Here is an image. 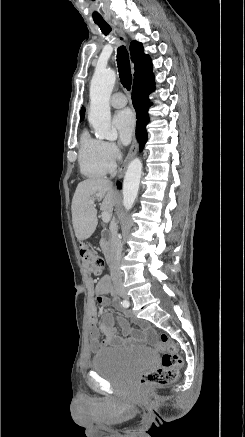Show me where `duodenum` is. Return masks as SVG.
<instances>
[{"label": "duodenum", "instance_id": "obj_1", "mask_svg": "<svg viewBox=\"0 0 245 437\" xmlns=\"http://www.w3.org/2000/svg\"><path fill=\"white\" fill-rule=\"evenodd\" d=\"M110 237H111L110 233L107 230H104L102 232V235H101V239H102V242H103L102 249H103L104 257H105L107 262H109L111 260V251H110V248L108 246V242L110 240Z\"/></svg>", "mask_w": 245, "mask_h": 437}]
</instances>
